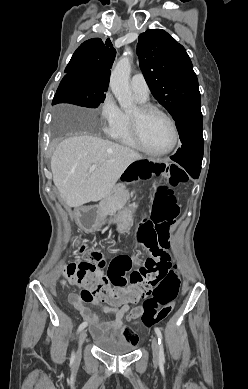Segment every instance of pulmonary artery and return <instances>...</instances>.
Returning a JSON list of instances; mask_svg holds the SVG:
<instances>
[{
  "mask_svg": "<svg viewBox=\"0 0 248 389\" xmlns=\"http://www.w3.org/2000/svg\"><path fill=\"white\" fill-rule=\"evenodd\" d=\"M130 86L134 94L138 97V99H148L150 90L142 74L137 73L133 75L130 80Z\"/></svg>",
  "mask_w": 248,
  "mask_h": 389,
  "instance_id": "obj_1",
  "label": "pulmonary artery"
}]
</instances>
